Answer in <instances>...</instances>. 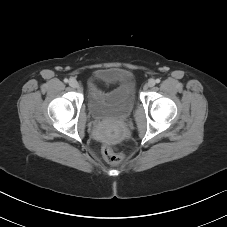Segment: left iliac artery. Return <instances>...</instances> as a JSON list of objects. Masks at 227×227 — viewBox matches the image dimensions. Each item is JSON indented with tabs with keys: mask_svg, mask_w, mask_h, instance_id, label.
I'll return each mask as SVG.
<instances>
[{
	"mask_svg": "<svg viewBox=\"0 0 227 227\" xmlns=\"http://www.w3.org/2000/svg\"><path fill=\"white\" fill-rule=\"evenodd\" d=\"M155 81H156V83H160V79H156Z\"/></svg>",
	"mask_w": 227,
	"mask_h": 227,
	"instance_id": "obj_1",
	"label": "left iliac artery"
}]
</instances>
